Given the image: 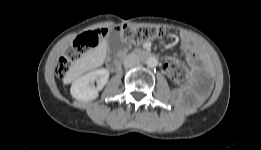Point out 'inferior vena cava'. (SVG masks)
Returning <instances> with one entry per match:
<instances>
[{"instance_id":"obj_1","label":"inferior vena cava","mask_w":261,"mask_h":150,"mask_svg":"<svg viewBox=\"0 0 261 150\" xmlns=\"http://www.w3.org/2000/svg\"><path fill=\"white\" fill-rule=\"evenodd\" d=\"M139 64H140L139 58L133 53L128 54L123 60V65L127 69L138 66Z\"/></svg>"}]
</instances>
